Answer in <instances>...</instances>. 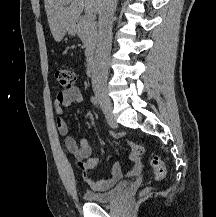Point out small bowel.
<instances>
[{"instance_id":"obj_1","label":"small bowel","mask_w":216,"mask_h":217,"mask_svg":"<svg viewBox=\"0 0 216 217\" xmlns=\"http://www.w3.org/2000/svg\"><path fill=\"white\" fill-rule=\"evenodd\" d=\"M83 93L78 87L69 90H61L57 93L54 100V108L56 111V127L58 132L64 136L65 148L80 160L84 166V181L87 186L95 191L107 190L113 187L122 178V166L119 162L114 163L111 175L104 180H95L86 175L87 171L95 168L100 158L91 156V146L86 138H82L79 143L76 139L69 135V127L63 118V109L72 107L83 101ZM143 165L139 159L133 158V164L128 172L129 177H136L142 171Z\"/></svg>"}]
</instances>
